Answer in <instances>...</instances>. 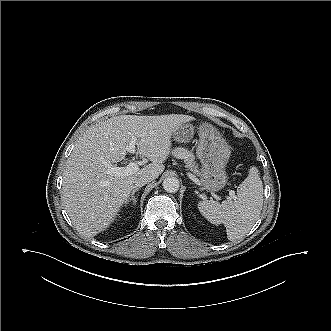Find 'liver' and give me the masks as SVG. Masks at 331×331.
<instances>
[{"instance_id":"6515ba94","label":"liver","mask_w":331,"mask_h":331,"mask_svg":"<svg viewBox=\"0 0 331 331\" xmlns=\"http://www.w3.org/2000/svg\"><path fill=\"white\" fill-rule=\"evenodd\" d=\"M191 120L177 114L123 115L91 127L74 147L63 173V200L78 229L94 236L109 227L128 201L135 179L142 175L156 179L162 174L173 133ZM131 141L137 153L152 163L131 175L109 174V166L125 159Z\"/></svg>"}]
</instances>
